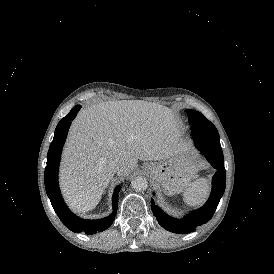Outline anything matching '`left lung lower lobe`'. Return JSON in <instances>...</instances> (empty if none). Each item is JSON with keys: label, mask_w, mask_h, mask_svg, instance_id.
<instances>
[{"label": "left lung lower lobe", "mask_w": 274, "mask_h": 274, "mask_svg": "<svg viewBox=\"0 0 274 274\" xmlns=\"http://www.w3.org/2000/svg\"><path fill=\"white\" fill-rule=\"evenodd\" d=\"M190 124L196 147L217 172L212 180V192L208 201L184 219L178 220L168 216L155 205L153 198H151V209L160 225L164 229L178 234L193 232L207 223L212 218L225 190L226 172L217 129L215 127H201L194 122H190Z\"/></svg>", "instance_id": "obj_1"}]
</instances>
